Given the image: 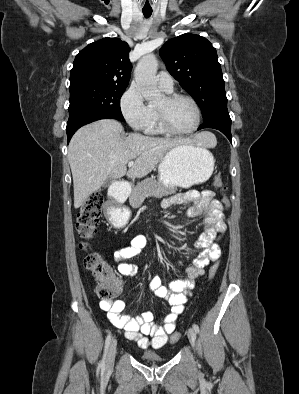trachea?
Listing matches in <instances>:
<instances>
[{"instance_id":"obj_1","label":"trachea","mask_w":299,"mask_h":394,"mask_svg":"<svg viewBox=\"0 0 299 394\" xmlns=\"http://www.w3.org/2000/svg\"><path fill=\"white\" fill-rule=\"evenodd\" d=\"M143 15L145 18H150V16L152 15V11H143Z\"/></svg>"}]
</instances>
